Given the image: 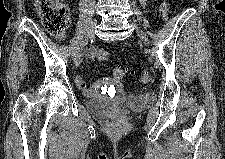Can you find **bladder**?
I'll list each match as a JSON object with an SVG mask.
<instances>
[{
  "instance_id": "1",
  "label": "bladder",
  "mask_w": 225,
  "mask_h": 159,
  "mask_svg": "<svg viewBox=\"0 0 225 159\" xmlns=\"http://www.w3.org/2000/svg\"><path fill=\"white\" fill-rule=\"evenodd\" d=\"M120 103L130 110H141L153 103V97L147 94L129 95L120 100ZM87 108L92 113L105 116L111 109V104L103 98L89 99Z\"/></svg>"
}]
</instances>
